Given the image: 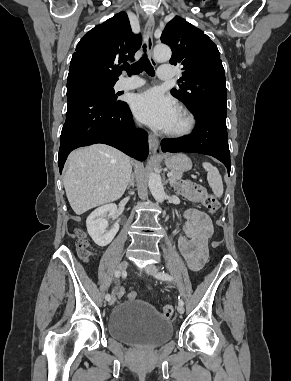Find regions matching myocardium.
<instances>
[{
  "label": "myocardium",
  "instance_id": "obj_1",
  "mask_svg": "<svg viewBox=\"0 0 291 381\" xmlns=\"http://www.w3.org/2000/svg\"><path fill=\"white\" fill-rule=\"evenodd\" d=\"M179 115L182 119L181 124L178 127L167 131V134L171 137L187 136L193 131L196 125V119L188 109L181 107L179 109Z\"/></svg>",
  "mask_w": 291,
  "mask_h": 381
}]
</instances>
